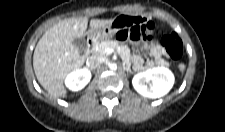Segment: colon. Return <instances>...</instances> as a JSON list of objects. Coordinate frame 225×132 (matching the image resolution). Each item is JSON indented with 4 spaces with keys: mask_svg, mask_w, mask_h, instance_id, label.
<instances>
[{
    "mask_svg": "<svg viewBox=\"0 0 225 132\" xmlns=\"http://www.w3.org/2000/svg\"><path fill=\"white\" fill-rule=\"evenodd\" d=\"M154 30L153 22L122 27L117 32V37L123 41H139L150 39ZM161 45L165 53L173 60H179L182 56V42L176 33H168L162 36Z\"/></svg>",
    "mask_w": 225,
    "mask_h": 132,
    "instance_id": "colon-1",
    "label": "colon"
}]
</instances>
